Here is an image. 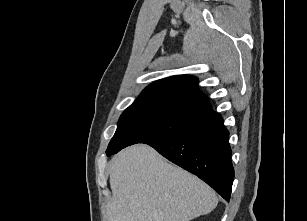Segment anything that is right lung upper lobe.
<instances>
[{
	"mask_svg": "<svg viewBox=\"0 0 307 221\" xmlns=\"http://www.w3.org/2000/svg\"><path fill=\"white\" fill-rule=\"evenodd\" d=\"M198 80L192 76H172L155 81L146 87L137 101L182 102L211 109L205 94L198 89Z\"/></svg>",
	"mask_w": 307,
	"mask_h": 221,
	"instance_id": "obj_1",
	"label": "right lung upper lobe"
}]
</instances>
